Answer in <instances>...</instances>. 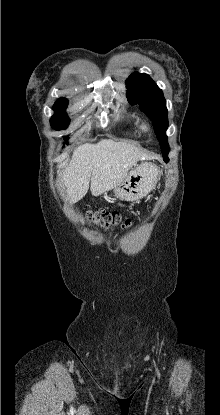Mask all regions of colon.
<instances>
[{
	"instance_id": "colon-1",
	"label": "colon",
	"mask_w": 220,
	"mask_h": 415,
	"mask_svg": "<svg viewBox=\"0 0 220 415\" xmlns=\"http://www.w3.org/2000/svg\"><path fill=\"white\" fill-rule=\"evenodd\" d=\"M87 219L104 228L121 227L123 229L131 228L129 220L124 219L117 211H90L86 213Z\"/></svg>"
}]
</instances>
